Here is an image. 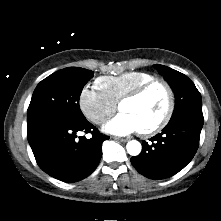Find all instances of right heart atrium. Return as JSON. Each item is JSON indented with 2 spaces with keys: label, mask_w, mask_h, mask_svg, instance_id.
<instances>
[{
  "label": "right heart atrium",
  "mask_w": 221,
  "mask_h": 221,
  "mask_svg": "<svg viewBox=\"0 0 221 221\" xmlns=\"http://www.w3.org/2000/svg\"><path fill=\"white\" fill-rule=\"evenodd\" d=\"M79 106L84 116L96 125L104 123L116 111L117 105L95 87H84L79 96Z\"/></svg>",
  "instance_id": "right-heart-atrium-1"
}]
</instances>
